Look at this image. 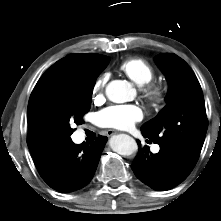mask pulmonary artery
<instances>
[{
	"label": "pulmonary artery",
	"instance_id": "1",
	"mask_svg": "<svg viewBox=\"0 0 221 221\" xmlns=\"http://www.w3.org/2000/svg\"><path fill=\"white\" fill-rule=\"evenodd\" d=\"M159 151V146L158 145H155L153 147V152L157 153Z\"/></svg>",
	"mask_w": 221,
	"mask_h": 221
}]
</instances>
